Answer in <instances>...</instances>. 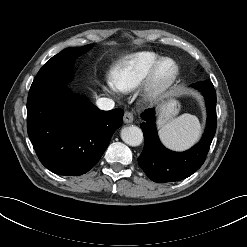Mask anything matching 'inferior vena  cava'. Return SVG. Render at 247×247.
Here are the masks:
<instances>
[{
    "mask_svg": "<svg viewBox=\"0 0 247 247\" xmlns=\"http://www.w3.org/2000/svg\"><path fill=\"white\" fill-rule=\"evenodd\" d=\"M96 104L101 110H111L115 106L114 101L109 98H99L97 99Z\"/></svg>",
    "mask_w": 247,
    "mask_h": 247,
    "instance_id": "602c4592",
    "label": "inferior vena cava"
}]
</instances>
